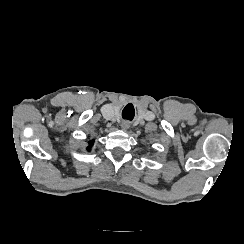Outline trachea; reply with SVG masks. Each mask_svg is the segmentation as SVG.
<instances>
[{
  "label": "trachea",
  "mask_w": 244,
  "mask_h": 244,
  "mask_svg": "<svg viewBox=\"0 0 244 244\" xmlns=\"http://www.w3.org/2000/svg\"><path fill=\"white\" fill-rule=\"evenodd\" d=\"M128 106H126L122 112V117L123 119H127V120H132V115L129 113V110L127 108Z\"/></svg>",
  "instance_id": "trachea-1"
}]
</instances>
